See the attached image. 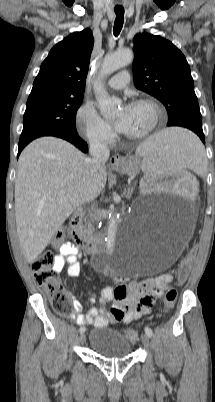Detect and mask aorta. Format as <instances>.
<instances>
[{
  "label": "aorta",
  "instance_id": "1",
  "mask_svg": "<svg viewBox=\"0 0 215 402\" xmlns=\"http://www.w3.org/2000/svg\"><path fill=\"white\" fill-rule=\"evenodd\" d=\"M133 58V52L129 49H125L108 54L103 60L100 69V76L94 83V92L100 112L105 118L112 119L118 111L122 101L119 98L110 97L108 95L102 83V79L130 64L133 61ZM115 235L116 225L114 221H111L105 237L106 243L100 248L97 256L101 260L110 263L113 268L117 269L123 267V260L122 256L116 253V249L114 247Z\"/></svg>",
  "mask_w": 215,
  "mask_h": 402
}]
</instances>
